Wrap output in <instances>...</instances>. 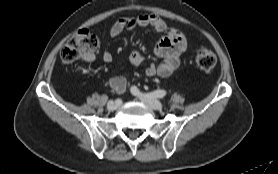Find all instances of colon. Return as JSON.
Listing matches in <instances>:
<instances>
[{
	"label": "colon",
	"instance_id": "colon-1",
	"mask_svg": "<svg viewBox=\"0 0 278 174\" xmlns=\"http://www.w3.org/2000/svg\"><path fill=\"white\" fill-rule=\"evenodd\" d=\"M98 48V39L88 30H80L73 34L60 51V57L64 62L70 63L78 59H87ZM195 62L202 71H210L216 65L215 54L206 48L196 51Z\"/></svg>",
	"mask_w": 278,
	"mask_h": 174
}]
</instances>
